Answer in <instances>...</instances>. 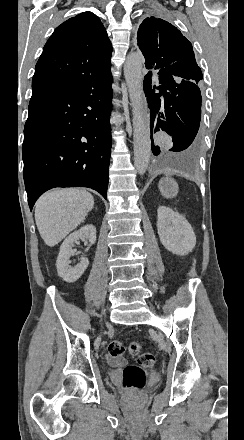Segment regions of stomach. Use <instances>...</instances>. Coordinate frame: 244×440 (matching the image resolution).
<instances>
[{"instance_id":"1","label":"stomach","mask_w":244,"mask_h":440,"mask_svg":"<svg viewBox=\"0 0 244 440\" xmlns=\"http://www.w3.org/2000/svg\"><path fill=\"white\" fill-rule=\"evenodd\" d=\"M158 188L164 198H176L179 190L177 182H175L173 178H170V176L162 178Z\"/></svg>"}]
</instances>
